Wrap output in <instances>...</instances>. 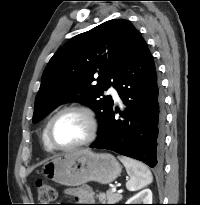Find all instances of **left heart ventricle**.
<instances>
[{
	"label": "left heart ventricle",
	"mask_w": 200,
	"mask_h": 205,
	"mask_svg": "<svg viewBox=\"0 0 200 205\" xmlns=\"http://www.w3.org/2000/svg\"><path fill=\"white\" fill-rule=\"evenodd\" d=\"M88 132L85 117L78 112L61 115L52 127V138L61 146L73 145L84 139Z\"/></svg>",
	"instance_id": "left-heart-ventricle-1"
}]
</instances>
